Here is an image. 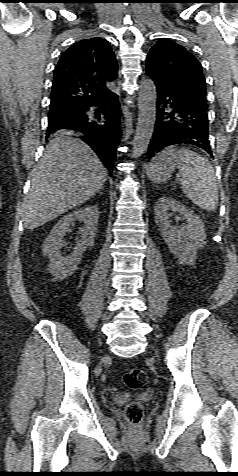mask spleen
I'll return each mask as SVG.
<instances>
[{"instance_id":"3e777b00","label":"spleen","mask_w":238,"mask_h":476,"mask_svg":"<svg viewBox=\"0 0 238 476\" xmlns=\"http://www.w3.org/2000/svg\"><path fill=\"white\" fill-rule=\"evenodd\" d=\"M183 193L197 206L214 211L218 204L215 172L209 160L188 149L177 151Z\"/></svg>"}]
</instances>
